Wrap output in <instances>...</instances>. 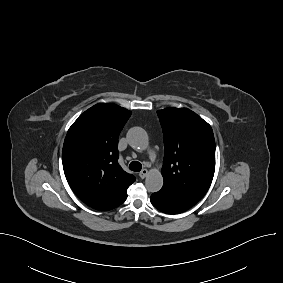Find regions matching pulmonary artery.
Here are the masks:
<instances>
[{"label": "pulmonary artery", "instance_id": "pulmonary-artery-1", "mask_svg": "<svg viewBox=\"0 0 283 283\" xmlns=\"http://www.w3.org/2000/svg\"><path fill=\"white\" fill-rule=\"evenodd\" d=\"M150 155H151V157H152V158H154V157H155V153H154L153 151L151 152V154H150Z\"/></svg>", "mask_w": 283, "mask_h": 283}]
</instances>
